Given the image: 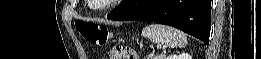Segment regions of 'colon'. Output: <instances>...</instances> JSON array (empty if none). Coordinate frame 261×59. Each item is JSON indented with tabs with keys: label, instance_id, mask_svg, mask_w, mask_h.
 Wrapping results in <instances>:
<instances>
[{
	"label": "colon",
	"instance_id": "1",
	"mask_svg": "<svg viewBox=\"0 0 261 59\" xmlns=\"http://www.w3.org/2000/svg\"><path fill=\"white\" fill-rule=\"evenodd\" d=\"M80 35L94 45H105L109 41V30L100 24L82 23L76 25ZM110 59H136L135 52L127 47L117 46L110 52Z\"/></svg>",
	"mask_w": 261,
	"mask_h": 59
}]
</instances>
